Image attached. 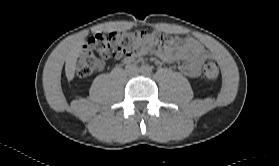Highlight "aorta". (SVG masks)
<instances>
[{
    "instance_id": "aorta-1",
    "label": "aorta",
    "mask_w": 279,
    "mask_h": 166,
    "mask_svg": "<svg viewBox=\"0 0 279 166\" xmlns=\"http://www.w3.org/2000/svg\"><path fill=\"white\" fill-rule=\"evenodd\" d=\"M150 72V69L148 67H145L143 69V73L148 74Z\"/></svg>"
}]
</instances>
